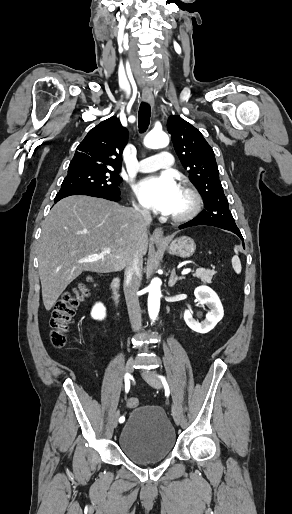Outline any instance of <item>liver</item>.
I'll return each mask as SVG.
<instances>
[{"mask_svg":"<svg viewBox=\"0 0 292 514\" xmlns=\"http://www.w3.org/2000/svg\"><path fill=\"white\" fill-rule=\"evenodd\" d=\"M137 224L132 208L101 198L69 196L55 204L42 222L38 246L46 310L55 306L68 284L84 270L97 274L121 272L137 246L145 256L148 236L139 238ZM107 248L111 254H101ZM93 258L96 260L89 262Z\"/></svg>","mask_w":292,"mask_h":514,"instance_id":"obj_1","label":"liver"}]
</instances>
